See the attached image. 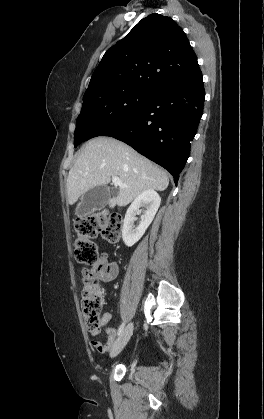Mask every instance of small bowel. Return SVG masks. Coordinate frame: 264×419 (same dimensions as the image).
Instances as JSON below:
<instances>
[{"label":"small bowel","instance_id":"c3829d8e","mask_svg":"<svg viewBox=\"0 0 264 419\" xmlns=\"http://www.w3.org/2000/svg\"><path fill=\"white\" fill-rule=\"evenodd\" d=\"M118 275V265L112 260L108 254L102 253L97 262L91 268H83L81 270V282L85 284L87 281L94 282L100 287L103 282H110ZM111 314L105 312L101 318V328L99 331L91 332L92 336H97L100 332L106 335V341L92 340V346L101 354L111 351L116 342V330L108 325Z\"/></svg>","mask_w":264,"mask_h":419}]
</instances>
